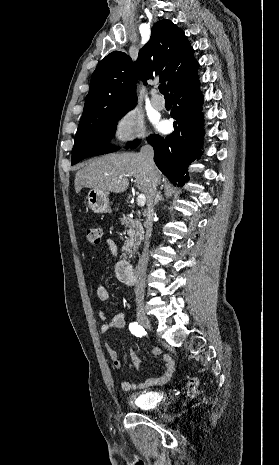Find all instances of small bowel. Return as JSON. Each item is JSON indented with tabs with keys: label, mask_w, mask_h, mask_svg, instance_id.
Listing matches in <instances>:
<instances>
[{
	"label": "small bowel",
	"mask_w": 279,
	"mask_h": 465,
	"mask_svg": "<svg viewBox=\"0 0 279 465\" xmlns=\"http://www.w3.org/2000/svg\"><path fill=\"white\" fill-rule=\"evenodd\" d=\"M106 244L111 254L113 256H117L118 251H117L116 243L112 239H107ZM96 294H97L98 299L101 301H106L109 298L108 289L103 285H100L97 287ZM100 317L104 321V323L101 326V332L103 334L108 333L112 330H120L125 327V316L123 313H117L111 318L110 321H106V315L103 311H101ZM107 352H108L109 358L114 368L120 369L122 367V362L119 359L117 351L111 348L109 345H107ZM151 353L154 356H158L161 354V351L157 346H152ZM130 356H131L133 365L136 368H140L142 365V361L133 349H130ZM163 361L165 364V368H164L163 373L160 376L147 378L143 382L138 383V384L132 383L129 381H123L121 383L122 390L133 391V390H138V389H145L153 385H161V384L168 382L175 372V365H174L172 358L167 354L163 355Z\"/></svg>",
	"instance_id": "c3829d8e"
}]
</instances>
